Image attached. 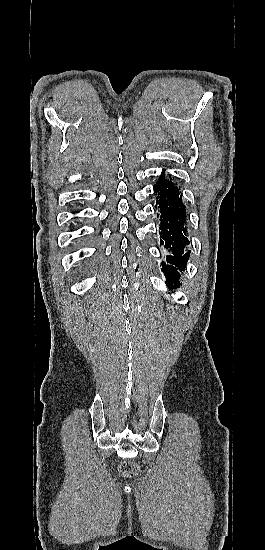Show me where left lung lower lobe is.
Instances as JSON below:
<instances>
[{
    "mask_svg": "<svg viewBox=\"0 0 265 550\" xmlns=\"http://www.w3.org/2000/svg\"><path fill=\"white\" fill-rule=\"evenodd\" d=\"M159 180L160 182L154 187L156 193L158 192L156 202L161 214L160 244L172 252V255L167 256V263L162 262L161 270L170 282L173 279L176 280L178 270H185L186 262L190 256V251L184 250V247L189 245L184 227L186 211L177 186L166 180L164 173Z\"/></svg>",
    "mask_w": 265,
    "mask_h": 550,
    "instance_id": "left-lung-lower-lobe-1",
    "label": "left lung lower lobe"
}]
</instances>
